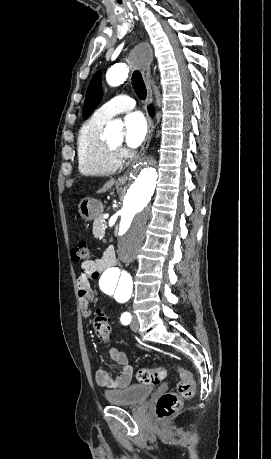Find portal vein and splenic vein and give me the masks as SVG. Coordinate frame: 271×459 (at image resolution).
<instances>
[{
  "label": "portal vein and splenic vein",
  "mask_w": 271,
  "mask_h": 459,
  "mask_svg": "<svg viewBox=\"0 0 271 459\" xmlns=\"http://www.w3.org/2000/svg\"><path fill=\"white\" fill-rule=\"evenodd\" d=\"M106 225H107V224L105 223V224L103 225V228H106Z\"/></svg>",
  "instance_id": "obj_1"
}]
</instances>
